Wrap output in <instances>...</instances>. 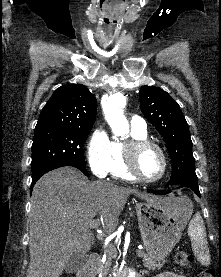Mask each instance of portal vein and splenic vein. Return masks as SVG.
<instances>
[{
  "instance_id": "portal-vein-and-splenic-vein-1",
  "label": "portal vein and splenic vein",
  "mask_w": 221,
  "mask_h": 277,
  "mask_svg": "<svg viewBox=\"0 0 221 277\" xmlns=\"http://www.w3.org/2000/svg\"><path fill=\"white\" fill-rule=\"evenodd\" d=\"M100 225V220L97 219V220H93L91 223H90V228H97L98 226ZM101 238V236H99Z\"/></svg>"
}]
</instances>
